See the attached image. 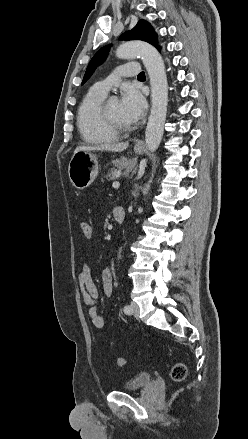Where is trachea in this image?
<instances>
[{
	"mask_svg": "<svg viewBox=\"0 0 248 439\" xmlns=\"http://www.w3.org/2000/svg\"><path fill=\"white\" fill-rule=\"evenodd\" d=\"M138 77H145V73H144V72H141V73L138 75Z\"/></svg>",
	"mask_w": 248,
	"mask_h": 439,
	"instance_id": "3493384b",
	"label": "trachea"
}]
</instances>
